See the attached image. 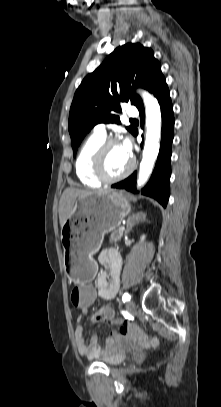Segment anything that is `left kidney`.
<instances>
[{"label":"left kidney","instance_id":"1","mask_svg":"<svg viewBox=\"0 0 221 407\" xmlns=\"http://www.w3.org/2000/svg\"><path fill=\"white\" fill-rule=\"evenodd\" d=\"M144 239H145V235H142L141 236V241H144Z\"/></svg>","mask_w":221,"mask_h":407}]
</instances>
